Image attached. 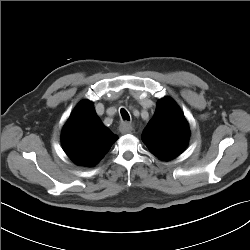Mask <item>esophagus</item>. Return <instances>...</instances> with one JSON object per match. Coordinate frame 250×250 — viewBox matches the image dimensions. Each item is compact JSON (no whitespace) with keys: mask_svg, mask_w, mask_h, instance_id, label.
I'll list each match as a JSON object with an SVG mask.
<instances>
[{"mask_svg":"<svg viewBox=\"0 0 250 250\" xmlns=\"http://www.w3.org/2000/svg\"><path fill=\"white\" fill-rule=\"evenodd\" d=\"M119 130L122 134H129L132 133L133 127L130 123L128 122H122L119 126Z\"/></svg>","mask_w":250,"mask_h":250,"instance_id":"34e87169","label":"esophagus"}]
</instances>
